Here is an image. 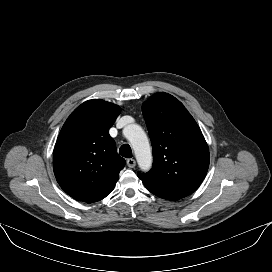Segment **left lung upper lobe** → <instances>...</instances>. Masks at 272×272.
Here are the masks:
<instances>
[{"mask_svg": "<svg viewBox=\"0 0 272 272\" xmlns=\"http://www.w3.org/2000/svg\"><path fill=\"white\" fill-rule=\"evenodd\" d=\"M153 149V166L138 173L145 187L166 200L192 194L209 167L204 136L184 105L167 93H156L142 106Z\"/></svg>", "mask_w": 272, "mask_h": 272, "instance_id": "1", "label": "left lung upper lobe"}]
</instances>
